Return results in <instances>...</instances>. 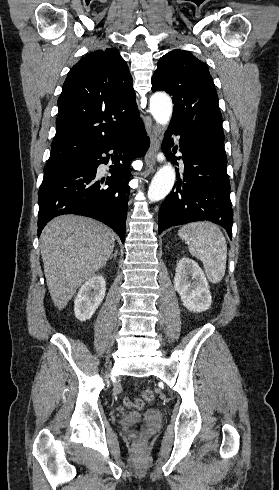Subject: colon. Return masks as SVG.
Listing matches in <instances>:
<instances>
[{"mask_svg": "<svg viewBox=\"0 0 279 490\" xmlns=\"http://www.w3.org/2000/svg\"><path fill=\"white\" fill-rule=\"evenodd\" d=\"M154 400V391L151 388H146L142 393L141 396L136 399L135 401V407L137 409H140L144 406L145 403L152 402ZM122 404L124 406H129L130 405V399L125 397L122 400ZM137 431H140L141 428L138 426L136 427Z\"/></svg>", "mask_w": 279, "mask_h": 490, "instance_id": "1", "label": "colon"}]
</instances>
